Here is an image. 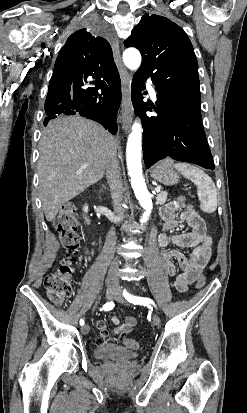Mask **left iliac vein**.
I'll return each instance as SVG.
<instances>
[{
	"mask_svg": "<svg viewBox=\"0 0 247 413\" xmlns=\"http://www.w3.org/2000/svg\"><path fill=\"white\" fill-rule=\"evenodd\" d=\"M113 299H115L117 302H120L122 304H128L125 299L122 296V293L119 291V289L117 288L116 293L114 294V296L112 297ZM152 324L156 327L160 326V317L158 314H154L153 318H152Z\"/></svg>",
	"mask_w": 247,
	"mask_h": 413,
	"instance_id": "4c4485c4",
	"label": "left iliac vein"
}]
</instances>
